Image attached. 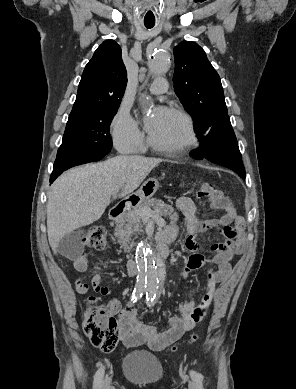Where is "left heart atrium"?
<instances>
[{"label":"left heart atrium","instance_id":"obj_1","mask_svg":"<svg viewBox=\"0 0 296 389\" xmlns=\"http://www.w3.org/2000/svg\"><path fill=\"white\" fill-rule=\"evenodd\" d=\"M166 112L165 108H157L146 118V129L149 133H152L158 127Z\"/></svg>","mask_w":296,"mask_h":389}]
</instances>
